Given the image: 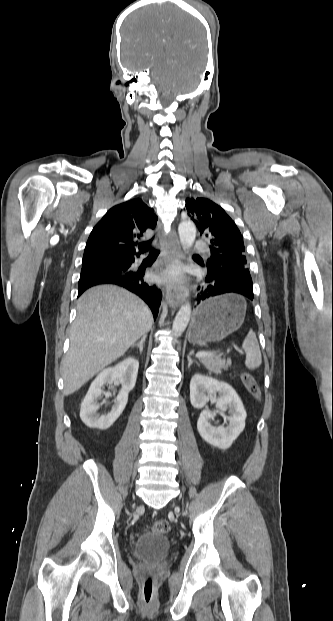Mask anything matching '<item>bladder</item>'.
Returning <instances> with one entry per match:
<instances>
[{"instance_id":"1","label":"bladder","mask_w":333,"mask_h":621,"mask_svg":"<svg viewBox=\"0 0 333 621\" xmlns=\"http://www.w3.org/2000/svg\"><path fill=\"white\" fill-rule=\"evenodd\" d=\"M131 552L137 559H164L170 553V542L163 534L146 533L137 539Z\"/></svg>"}]
</instances>
